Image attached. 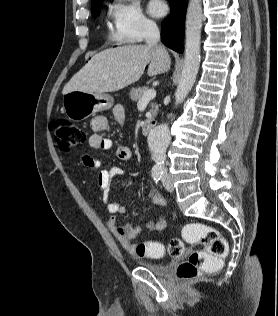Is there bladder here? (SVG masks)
<instances>
[{"instance_id": "31cf9c89", "label": "bladder", "mask_w": 278, "mask_h": 316, "mask_svg": "<svg viewBox=\"0 0 278 316\" xmlns=\"http://www.w3.org/2000/svg\"><path fill=\"white\" fill-rule=\"evenodd\" d=\"M138 263L141 267L158 276H166L170 274L174 268V265L172 263L161 264L148 261H139Z\"/></svg>"}]
</instances>
